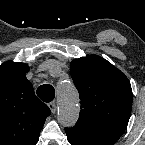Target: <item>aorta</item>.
<instances>
[{
    "mask_svg": "<svg viewBox=\"0 0 145 145\" xmlns=\"http://www.w3.org/2000/svg\"><path fill=\"white\" fill-rule=\"evenodd\" d=\"M79 117V106L74 86L70 82L58 86V121L63 126H73Z\"/></svg>",
    "mask_w": 145,
    "mask_h": 145,
    "instance_id": "aorta-1",
    "label": "aorta"
}]
</instances>
